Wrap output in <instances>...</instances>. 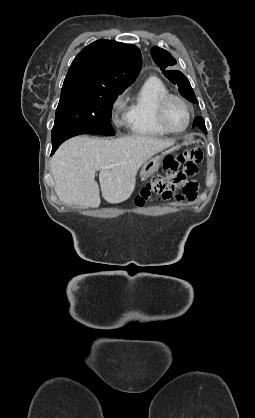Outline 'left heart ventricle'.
Returning a JSON list of instances; mask_svg holds the SVG:
<instances>
[{
  "mask_svg": "<svg viewBox=\"0 0 255 418\" xmlns=\"http://www.w3.org/2000/svg\"><path fill=\"white\" fill-rule=\"evenodd\" d=\"M166 121L173 129H181L187 123V110L182 103L172 100L167 106Z\"/></svg>",
  "mask_w": 255,
  "mask_h": 418,
  "instance_id": "1",
  "label": "left heart ventricle"
}]
</instances>
